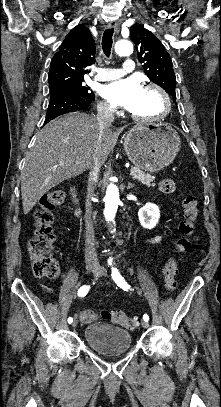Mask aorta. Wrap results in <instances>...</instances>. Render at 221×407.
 Instances as JSON below:
<instances>
[{"mask_svg":"<svg viewBox=\"0 0 221 407\" xmlns=\"http://www.w3.org/2000/svg\"><path fill=\"white\" fill-rule=\"evenodd\" d=\"M115 52L119 56L130 55L133 52V45L128 40H120L115 44ZM104 202H105L104 208L105 219L108 222H112L115 218L118 205L120 202L119 189L115 184L110 183L107 186Z\"/></svg>","mask_w":221,"mask_h":407,"instance_id":"aorta-1","label":"aorta"}]
</instances>
